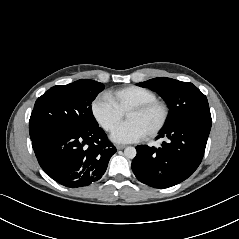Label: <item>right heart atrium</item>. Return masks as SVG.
I'll use <instances>...</instances> for the list:
<instances>
[{"label":"right heart atrium","instance_id":"right-heart-atrium-1","mask_svg":"<svg viewBox=\"0 0 239 239\" xmlns=\"http://www.w3.org/2000/svg\"><path fill=\"white\" fill-rule=\"evenodd\" d=\"M91 112L95 121L107 132L112 131L123 118V113L105 94L93 100Z\"/></svg>","mask_w":239,"mask_h":239}]
</instances>
